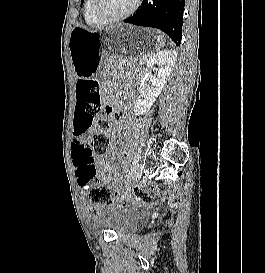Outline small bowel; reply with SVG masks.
Masks as SVG:
<instances>
[{
	"mask_svg": "<svg viewBox=\"0 0 265 273\" xmlns=\"http://www.w3.org/2000/svg\"><path fill=\"white\" fill-rule=\"evenodd\" d=\"M107 107L111 115H115V116L117 115L115 105L110 100ZM117 130H118V123L113 121L108 130V134L110 136H114ZM76 134L77 133L74 134L72 138V143H71V163H72V167H73L78 185H79L80 173L83 170H87V169H92V168L95 169L96 172L99 173V176L101 179H107V178L113 177L110 165L106 161V157L111 156L113 154L112 150L108 151L106 155L99 156L92 159H87L85 157V150L87 148L88 134L82 133L84 135L83 139H76L75 138ZM98 212L99 210L94 207H91V206L85 207V213L89 217L97 216L99 214Z\"/></svg>",
	"mask_w": 265,
	"mask_h": 273,
	"instance_id": "obj_1",
	"label": "small bowel"
}]
</instances>
